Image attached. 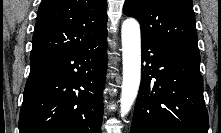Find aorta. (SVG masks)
<instances>
[{
	"instance_id": "1",
	"label": "aorta",
	"mask_w": 221,
	"mask_h": 133,
	"mask_svg": "<svg viewBox=\"0 0 221 133\" xmlns=\"http://www.w3.org/2000/svg\"><path fill=\"white\" fill-rule=\"evenodd\" d=\"M123 81L120 97V114L130 111L138 94L141 80V34L139 23L126 19L122 24Z\"/></svg>"
}]
</instances>
